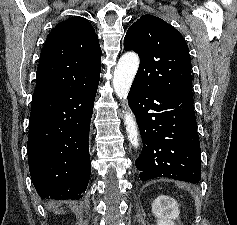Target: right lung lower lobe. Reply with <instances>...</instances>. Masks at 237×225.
<instances>
[{
    "instance_id": "obj_1",
    "label": "right lung lower lobe",
    "mask_w": 237,
    "mask_h": 225,
    "mask_svg": "<svg viewBox=\"0 0 237 225\" xmlns=\"http://www.w3.org/2000/svg\"><path fill=\"white\" fill-rule=\"evenodd\" d=\"M99 80L56 97L33 99L27 153L43 199H79L91 174L89 130Z\"/></svg>"
}]
</instances>
